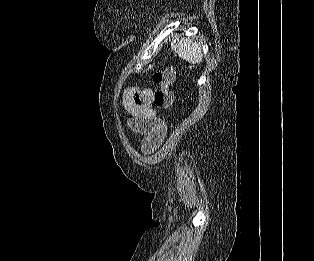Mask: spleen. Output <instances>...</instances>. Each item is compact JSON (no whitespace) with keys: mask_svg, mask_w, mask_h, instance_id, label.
<instances>
[{"mask_svg":"<svg viewBox=\"0 0 314 261\" xmlns=\"http://www.w3.org/2000/svg\"><path fill=\"white\" fill-rule=\"evenodd\" d=\"M174 52L183 60L190 64H199L202 62V47L191 39H174L171 42Z\"/></svg>","mask_w":314,"mask_h":261,"instance_id":"obj_1","label":"spleen"}]
</instances>
